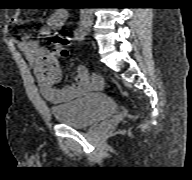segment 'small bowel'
Returning a JSON list of instances; mask_svg holds the SVG:
<instances>
[{
  "label": "small bowel",
  "instance_id": "c3829d8e",
  "mask_svg": "<svg viewBox=\"0 0 192 180\" xmlns=\"http://www.w3.org/2000/svg\"><path fill=\"white\" fill-rule=\"evenodd\" d=\"M68 18L66 10L54 12L42 30L43 35L62 27ZM20 21L19 13H15L12 22ZM18 45L24 51L34 69L41 94L52 103H63L84 96L91 91L102 89L103 80L97 75L90 76L85 66H79L75 75V82L62 88L57 87L61 79V68L58 59L49 49L42 47L38 41L22 36Z\"/></svg>",
  "mask_w": 192,
  "mask_h": 180
}]
</instances>
